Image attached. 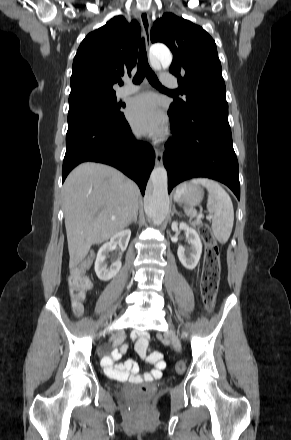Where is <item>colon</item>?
Returning a JSON list of instances; mask_svg holds the SVG:
<instances>
[{"mask_svg":"<svg viewBox=\"0 0 291 440\" xmlns=\"http://www.w3.org/2000/svg\"><path fill=\"white\" fill-rule=\"evenodd\" d=\"M199 234L205 243L204 267L201 277V293L205 308L208 311H211L220 280L219 246L211 230L206 224H200ZM87 266L88 260L84 259L78 268L73 270L70 276V292L75 301L74 314L76 316L81 315L83 311L81 303L84 300L86 293L90 289V282L84 273ZM160 356L161 355L158 352L152 354L153 359H158ZM134 402L136 405L143 404V396H137Z\"/></svg>","mask_w":291,"mask_h":440,"instance_id":"5ec220e1","label":"colon"}]
</instances>
